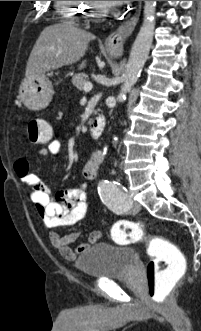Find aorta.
Listing matches in <instances>:
<instances>
[{
    "label": "aorta",
    "instance_id": "obj_1",
    "mask_svg": "<svg viewBox=\"0 0 201 331\" xmlns=\"http://www.w3.org/2000/svg\"><path fill=\"white\" fill-rule=\"evenodd\" d=\"M155 11L156 1H144L143 24L133 43L129 60L123 74V85L118 95V99L121 101L125 99L127 92H129L137 82L148 58L155 29ZM113 140L115 143L118 142L117 137H114Z\"/></svg>",
    "mask_w": 201,
    "mask_h": 331
}]
</instances>
